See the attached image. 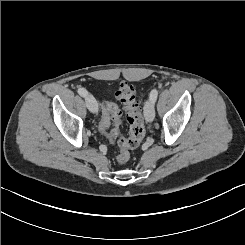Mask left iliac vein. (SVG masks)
I'll return each instance as SVG.
<instances>
[{
    "mask_svg": "<svg viewBox=\"0 0 245 245\" xmlns=\"http://www.w3.org/2000/svg\"><path fill=\"white\" fill-rule=\"evenodd\" d=\"M144 116L147 122H151L155 117L154 102L152 100H147L144 106Z\"/></svg>",
    "mask_w": 245,
    "mask_h": 245,
    "instance_id": "obj_1",
    "label": "left iliac vein"
}]
</instances>
